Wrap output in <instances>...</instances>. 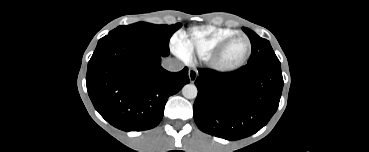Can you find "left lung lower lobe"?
I'll list each match as a JSON object with an SVG mask.
<instances>
[{
    "label": "left lung lower lobe",
    "instance_id": "1",
    "mask_svg": "<svg viewBox=\"0 0 369 152\" xmlns=\"http://www.w3.org/2000/svg\"><path fill=\"white\" fill-rule=\"evenodd\" d=\"M283 83L280 64L246 65L231 73L199 70L195 123L226 140L248 137L276 112Z\"/></svg>",
    "mask_w": 369,
    "mask_h": 152
}]
</instances>
